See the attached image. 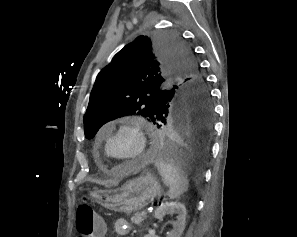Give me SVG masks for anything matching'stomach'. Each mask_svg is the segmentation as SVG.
Masks as SVG:
<instances>
[{
	"label": "stomach",
	"mask_w": 297,
	"mask_h": 237,
	"mask_svg": "<svg viewBox=\"0 0 297 237\" xmlns=\"http://www.w3.org/2000/svg\"><path fill=\"white\" fill-rule=\"evenodd\" d=\"M162 187L150 172L127 181L121 188L91 192V197L103 207L131 214L145 208L162 195Z\"/></svg>",
	"instance_id": "stomach-1"
}]
</instances>
